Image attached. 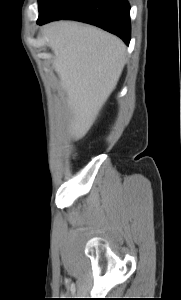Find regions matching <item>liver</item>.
<instances>
[{
    "instance_id": "1",
    "label": "liver",
    "mask_w": 181,
    "mask_h": 300,
    "mask_svg": "<svg viewBox=\"0 0 181 300\" xmlns=\"http://www.w3.org/2000/svg\"><path fill=\"white\" fill-rule=\"evenodd\" d=\"M44 33L55 52L53 68L68 97L69 131L81 139L115 89L126 62V46L96 27L62 21Z\"/></svg>"
}]
</instances>
